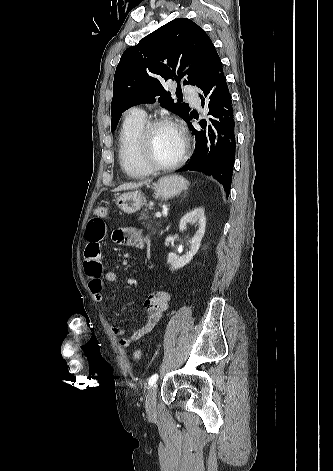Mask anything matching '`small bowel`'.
<instances>
[{
    "mask_svg": "<svg viewBox=\"0 0 333 471\" xmlns=\"http://www.w3.org/2000/svg\"><path fill=\"white\" fill-rule=\"evenodd\" d=\"M107 226L104 217L94 216L88 221L86 228V247L84 251V269L89 277V289L96 302L103 301L104 282H115L118 275L114 271L104 272L102 264L101 241L107 235ZM114 242L142 247L143 235L133 227H122L113 231ZM171 296L166 291H156L151 293L144 302L145 316L140 327L132 333H127L117 324L111 325V331L120 337L119 344L123 348H128L133 342L140 340L149 334L161 321L163 314L170 307Z\"/></svg>",
    "mask_w": 333,
    "mask_h": 471,
    "instance_id": "obj_1",
    "label": "small bowel"
}]
</instances>
